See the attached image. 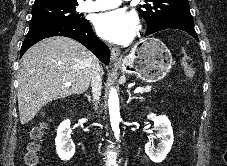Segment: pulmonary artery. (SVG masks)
<instances>
[{
    "mask_svg": "<svg viewBox=\"0 0 227 166\" xmlns=\"http://www.w3.org/2000/svg\"><path fill=\"white\" fill-rule=\"evenodd\" d=\"M123 1L127 0H89L81 5V9L88 12L109 10L118 7Z\"/></svg>",
    "mask_w": 227,
    "mask_h": 166,
    "instance_id": "e3ab8cb5",
    "label": "pulmonary artery"
}]
</instances>
